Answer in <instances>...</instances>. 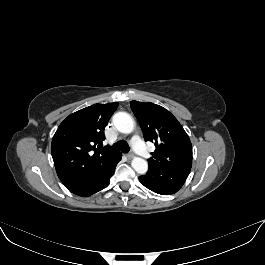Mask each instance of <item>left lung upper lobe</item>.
Masks as SVG:
<instances>
[{
    "label": "left lung upper lobe",
    "mask_w": 265,
    "mask_h": 265,
    "mask_svg": "<svg viewBox=\"0 0 265 265\" xmlns=\"http://www.w3.org/2000/svg\"><path fill=\"white\" fill-rule=\"evenodd\" d=\"M146 141L157 147L148 159L150 168L191 169V141L178 120L165 108L138 101L130 102Z\"/></svg>",
    "instance_id": "1"
}]
</instances>
